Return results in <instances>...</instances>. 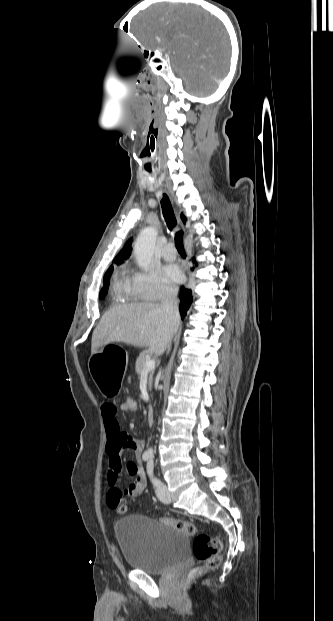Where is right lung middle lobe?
Here are the masks:
<instances>
[{
  "label": "right lung middle lobe",
  "mask_w": 333,
  "mask_h": 621,
  "mask_svg": "<svg viewBox=\"0 0 333 621\" xmlns=\"http://www.w3.org/2000/svg\"><path fill=\"white\" fill-rule=\"evenodd\" d=\"M112 271H113V267H110L107 270L106 274L104 275V286H103L102 290L100 291V298L101 299H103L106 296L107 292H108L109 277H110Z\"/></svg>",
  "instance_id": "1"
}]
</instances>
